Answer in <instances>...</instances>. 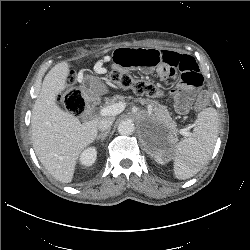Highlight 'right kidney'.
<instances>
[{
    "instance_id": "1",
    "label": "right kidney",
    "mask_w": 250,
    "mask_h": 250,
    "mask_svg": "<svg viewBox=\"0 0 250 250\" xmlns=\"http://www.w3.org/2000/svg\"><path fill=\"white\" fill-rule=\"evenodd\" d=\"M97 156V150L95 147H89L85 149L80 155V163L84 166H91Z\"/></svg>"
}]
</instances>
